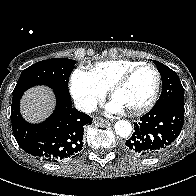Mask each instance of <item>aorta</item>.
<instances>
[{
    "label": "aorta",
    "mask_w": 196,
    "mask_h": 196,
    "mask_svg": "<svg viewBox=\"0 0 196 196\" xmlns=\"http://www.w3.org/2000/svg\"><path fill=\"white\" fill-rule=\"evenodd\" d=\"M114 129L117 135L126 138L132 132V125L126 120H120L115 123Z\"/></svg>",
    "instance_id": "obj_1"
}]
</instances>
